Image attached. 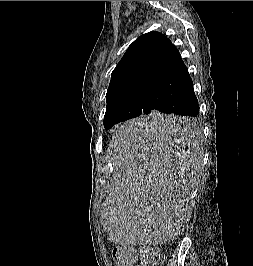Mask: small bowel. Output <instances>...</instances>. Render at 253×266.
<instances>
[{
    "instance_id": "obj_1",
    "label": "small bowel",
    "mask_w": 253,
    "mask_h": 266,
    "mask_svg": "<svg viewBox=\"0 0 253 266\" xmlns=\"http://www.w3.org/2000/svg\"><path fill=\"white\" fill-rule=\"evenodd\" d=\"M128 266H133V262H131Z\"/></svg>"
}]
</instances>
